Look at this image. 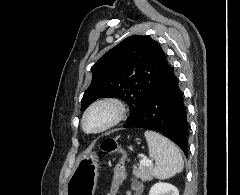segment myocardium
Segmentation results:
<instances>
[{"label": "myocardium", "mask_w": 240, "mask_h": 195, "mask_svg": "<svg viewBox=\"0 0 240 195\" xmlns=\"http://www.w3.org/2000/svg\"><path fill=\"white\" fill-rule=\"evenodd\" d=\"M96 112L106 114L104 122L97 128L90 129L87 126L88 117ZM126 114L124 103L116 97H105L93 102L84 112L82 127L86 133L99 134L119 124Z\"/></svg>", "instance_id": "obj_1"}]
</instances>
